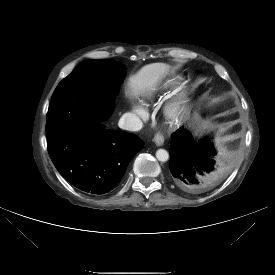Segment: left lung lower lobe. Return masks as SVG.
<instances>
[{
    "instance_id": "obj_1",
    "label": "left lung lower lobe",
    "mask_w": 275,
    "mask_h": 275,
    "mask_svg": "<svg viewBox=\"0 0 275 275\" xmlns=\"http://www.w3.org/2000/svg\"><path fill=\"white\" fill-rule=\"evenodd\" d=\"M170 171L175 184L185 191H192L217 177L214 174L215 151L212 144L204 139L194 142L184 130H177L171 136Z\"/></svg>"
}]
</instances>
